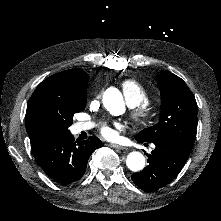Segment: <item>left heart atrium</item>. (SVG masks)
Segmentation results:
<instances>
[{"mask_svg": "<svg viewBox=\"0 0 221 221\" xmlns=\"http://www.w3.org/2000/svg\"><path fill=\"white\" fill-rule=\"evenodd\" d=\"M100 135L110 141H115L118 139L117 131L115 130V127L113 124L110 123H104L100 128Z\"/></svg>", "mask_w": 221, "mask_h": 221, "instance_id": "1", "label": "left heart atrium"}]
</instances>
